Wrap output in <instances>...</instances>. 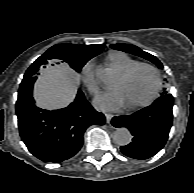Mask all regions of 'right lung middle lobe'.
Returning <instances> with one entry per match:
<instances>
[{"label":"right lung middle lobe","instance_id":"1","mask_svg":"<svg viewBox=\"0 0 194 193\" xmlns=\"http://www.w3.org/2000/svg\"><path fill=\"white\" fill-rule=\"evenodd\" d=\"M88 61L87 58H82L80 56H71V58L67 61V63L77 72L81 70V68L84 66V64ZM27 71L24 75V79L22 80L18 92V99L22 97H27L32 95V88L33 84L29 85L27 83L26 78Z\"/></svg>","mask_w":194,"mask_h":193}]
</instances>
